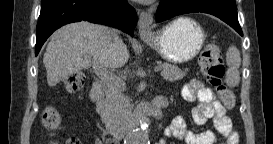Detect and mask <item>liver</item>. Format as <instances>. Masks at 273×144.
<instances>
[{"instance_id": "obj_1", "label": "liver", "mask_w": 273, "mask_h": 144, "mask_svg": "<svg viewBox=\"0 0 273 144\" xmlns=\"http://www.w3.org/2000/svg\"><path fill=\"white\" fill-rule=\"evenodd\" d=\"M109 30L103 25L82 21L55 31L43 56L48 85L54 87L91 65L122 67L129 59L127 46L119 37L115 42Z\"/></svg>"}]
</instances>
